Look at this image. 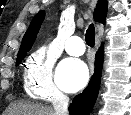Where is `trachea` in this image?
Instances as JSON below:
<instances>
[{
  "mask_svg": "<svg viewBox=\"0 0 131 115\" xmlns=\"http://www.w3.org/2000/svg\"><path fill=\"white\" fill-rule=\"evenodd\" d=\"M85 41L90 47H93L95 44V27L93 24H91L86 31Z\"/></svg>",
  "mask_w": 131,
  "mask_h": 115,
  "instance_id": "obj_1",
  "label": "trachea"
}]
</instances>
